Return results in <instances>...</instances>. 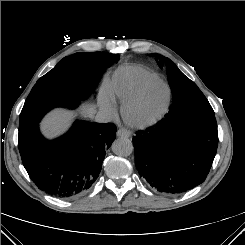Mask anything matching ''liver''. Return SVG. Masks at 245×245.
Wrapping results in <instances>:
<instances>
[{
    "mask_svg": "<svg viewBox=\"0 0 245 245\" xmlns=\"http://www.w3.org/2000/svg\"><path fill=\"white\" fill-rule=\"evenodd\" d=\"M95 108L90 105L83 106L80 113L85 117H92L95 114ZM73 112L63 109H56L50 112L42 122V131L48 137H54L64 131L69 125V118Z\"/></svg>",
    "mask_w": 245,
    "mask_h": 245,
    "instance_id": "6515ba94",
    "label": "liver"
}]
</instances>
